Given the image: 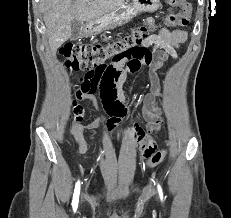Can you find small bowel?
<instances>
[{
  "label": "small bowel",
  "mask_w": 231,
  "mask_h": 218,
  "mask_svg": "<svg viewBox=\"0 0 231 218\" xmlns=\"http://www.w3.org/2000/svg\"><path fill=\"white\" fill-rule=\"evenodd\" d=\"M148 25L156 30V33L150 35L143 42L144 48L152 47L158 50L152 56H120L111 63H104L103 66H97V69H84L85 76L81 78L77 96L85 97L96 90L100 92V97L106 112L112 117L108 123L110 131H113L117 122L126 114L124 108L125 94L122 86L126 81L127 71L135 73L144 65H150V92L146 94L143 104V112L147 121L148 128L151 131H158L161 128V110L155 104L157 97L161 95L160 82L156 76V71L166 64L168 57L177 59V48L187 40L188 34L183 30L170 31L167 28L156 29L152 18L147 19ZM152 61V62H151ZM126 66V69H124ZM117 85V87H116ZM96 123L87 125H76L73 129V138L79 154L86 157L88 144L84 136L86 128H94ZM125 138L136 145V153L140 157H148L155 150L153 139L147 136L138 126L124 130Z\"/></svg>",
  "instance_id": "small-bowel-1"
}]
</instances>
